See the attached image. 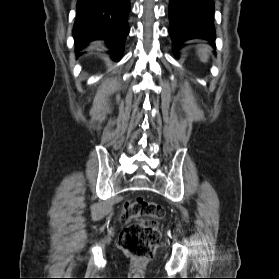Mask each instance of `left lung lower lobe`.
Instances as JSON below:
<instances>
[{
  "mask_svg": "<svg viewBox=\"0 0 279 279\" xmlns=\"http://www.w3.org/2000/svg\"><path fill=\"white\" fill-rule=\"evenodd\" d=\"M168 11L175 53L192 38L206 39L215 47L214 0H169Z\"/></svg>",
  "mask_w": 279,
  "mask_h": 279,
  "instance_id": "obj_1",
  "label": "left lung lower lobe"
}]
</instances>
